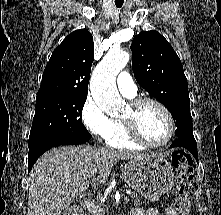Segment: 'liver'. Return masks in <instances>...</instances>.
<instances>
[{"mask_svg": "<svg viewBox=\"0 0 221 215\" xmlns=\"http://www.w3.org/2000/svg\"><path fill=\"white\" fill-rule=\"evenodd\" d=\"M144 156L90 146L51 149L37 160L29 174L27 215H67L78 194L90 184L95 188L106 182L115 162Z\"/></svg>", "mask_w": 221, "mask_h": 215, "instance_id": "6515ba94", "label": "liver"}]
</instances>
